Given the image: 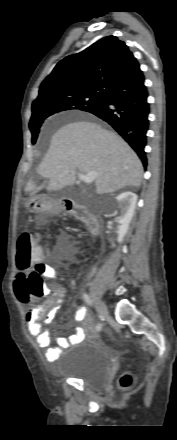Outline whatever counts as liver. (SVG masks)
Returning <instances> with one entry per match:
<instances>
[{
  "label": "liver",
  "instance_id": "1",
  "mask_svg": "<svg viewBox=\"0 0 177 440\" xmlns=\"http://www.w3.org/2000/svg\"><path fill=\"white\" fill-rule=\"evenodd\" d=\"M77 170L96 171L98 194L113 193L127 186L139 187L143 174L140 159L120 136L88 121L64 125L52 136L37 173L49 179L48 191H58L75 183ZM36 190L35 182L30 179L24 191Z\"/></svg>",
  "mask_w": 177,
  "mask_h": 440
}]
</instances>
